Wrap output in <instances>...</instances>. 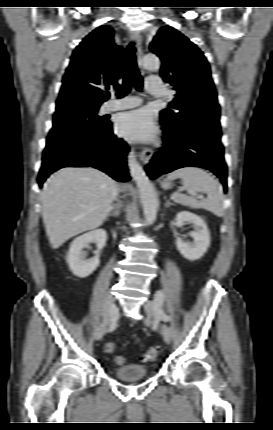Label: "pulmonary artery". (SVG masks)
<instances>
[{
	"mask_svg": "<svg viewBox=\"0 0 273 430\" xmlns=\"http://www.w3.org/2000/svg\"><path fill=\"white\" fill-rule=\"evenodd\" d=\"M147 90L154 96L164 95V86L160 79L151 78L147 81ZM141 104V100L137 97H127L120 101H111L105 106L107 112L124 110L137 107Z\"/></svg>",
	"mask_w": 273,
	"mask_h": 430,
	"instance_id": "pulmonary-artery-1",
	"label": "pulmonary artery"
}]
</instances>
